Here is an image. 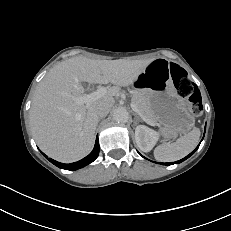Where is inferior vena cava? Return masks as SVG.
I'll list each match as a JSON object with an SVG mask.
<instances>
[{
	"label": "inferior vena cava",
	"mask_w": 231,
	"mask_h": 231,
	"mask_svg": "<svg viewBox=\"0 0 231 231\" xmlns=\"http://www.w3.org/2000/svg\"><path fill=\"white\" fill-rule=\"evenodd\" d=\"M109 107L106 105H99L96 109V115L98 118H104L108 115L109 113Z\"/></svg>",
	"instance_id": "obj_1"
}]
</instances>
